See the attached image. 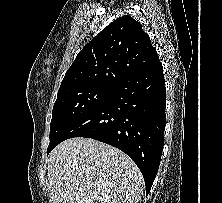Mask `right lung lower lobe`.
<instances>
[{
  "instance_id": "98d812e1",
  "label": "right lung lower lobe",
  "mask_w": 222,
  "mask_h": 203,
  "mask_svg": "<svg viewBox=\"0 0 222 203\" xmlns=\"http://www.w3.org/2000/svg\"><path fill=\"white\" fill-rule=\"evenodd\" d=\"M166 92L159 59L120 80L108 97L67 127L47 154L73 137L92 138L117 147L140 169L149 193L156 177L166 124Z\"/></svg>"
}]
</instances>
